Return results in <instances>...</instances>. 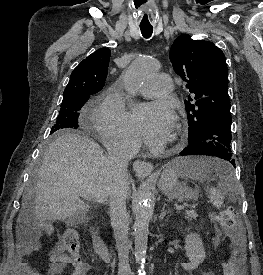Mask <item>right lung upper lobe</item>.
Listing matches in <instances>:
<instances>
[{
    "label": "right lung upper lobe",
    "instance_id": "cb5924a9",
    "mask_svg": "<svg viewBox=\"0 0 263 275\" xmlns=\"http://www.w3.org/2000/svg\"><path fill=\"white\" fill-rule=\"evenodd\" d=\"M110 55V49L101 48L84 59L71 73L63 98L100 91L106 80Z\"/></svg>",
    "mask_w": 263,
    "mask_h": 275
}]
</instances>
